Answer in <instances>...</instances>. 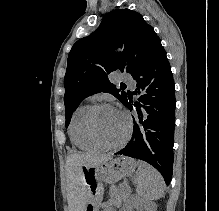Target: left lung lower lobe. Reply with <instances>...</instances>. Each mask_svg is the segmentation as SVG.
Listing matches in <instances>:
<instances>
[{
	"label": "left lung lower lobe",
	"instance_id": "0a47b994",
	"mask_svg": "<svg viewBox=\"0 0 219 211\" xmlns=\"http://www.w3.org/2000/svg\"><path fill=\"white\" fill-rule=\"evenodd\" d=\"M132 77L137 82L133 94L139 98L134 102L129 93L122 103L138 115L133 116L130 142L116 154L150 163L168 185L173 174L176 104L175 84L165 50Z\"/></svg>",
	"mask_w": 219,
	"mask_h": 211
}]
</instances>
